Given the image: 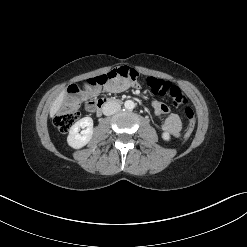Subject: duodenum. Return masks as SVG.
<instances>
[{"mask_svg":"<svg viewBox=\"0 0 247 247\" xmlns=\"http://www.w3.org/2000/svg\"><path fill=\"white\" fill-rule=\"evenodd\" d=\"M120 101L117 100V99H113V98H103V99H100L98 102H97V115L100 116L103 112V109L107 106H110V105H114V104H119Z\"/></svg>","mask_w":247,"mask_h":247,"instance_id":"1","label":"duodenum"}]
</instances>
